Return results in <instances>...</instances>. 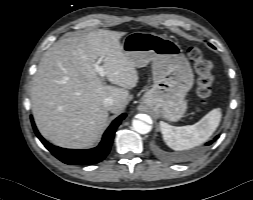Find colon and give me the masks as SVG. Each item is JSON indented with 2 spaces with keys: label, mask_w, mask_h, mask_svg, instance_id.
Segmentation results:
<instances>
[{
  "label": "colon",
  "mask_w": 253,
  "mask_h": 200,
  "mask_svg": "<svg viewBox=\"0 0 253 200\" xmlns=\"http://www.w3.org/2000/svg\"><path fill=\"white\" fill-rule=\"evenodd\" d=\"M188 57L198 75L197 94L202 103H207L213 92L214 76L212 62L197 47H189Z\"/></svg>",
  "instance_id": "obj_1"
}]
</instances>
